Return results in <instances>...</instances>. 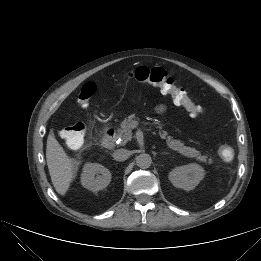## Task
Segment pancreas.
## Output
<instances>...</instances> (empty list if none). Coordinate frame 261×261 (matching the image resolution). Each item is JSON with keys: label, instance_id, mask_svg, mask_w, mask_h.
<instances>
[{"label": "pancreas", "instance_id": "cf45deb5", "mask_svg": "<svg viewBox=\"0 0 261 261\" xmlns=\"http://www.w3.org/2000/svg\"><path fill=\"white\" fill-rule=\"evenodd\" d=\"M133 118L134 116H129L128 119H125L121 123V128L117 130L118 136L122 138L123 143H126L127 141L131 140L132 138V129H133ZM159 134L162 139H165L167 142V145L170 149L177 151L183 156H186L188 158H195L197 161L203 162V163H212V159L208 158L207 156L201 155L199 151H197L195 148L184 146V143L180 140L173 139L171 136H168V133L164 130H162V127L159 126Z\"/></svg>", "mask_w": 261, "mask_h": 261}]
</instances>
